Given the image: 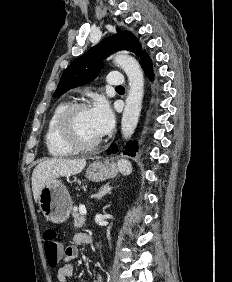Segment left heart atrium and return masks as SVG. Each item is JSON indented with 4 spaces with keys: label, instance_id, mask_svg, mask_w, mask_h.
<instances>
[{
    "label": "left heart atrium",
    "instance_id": "obj_1",
    "mask_svg": "<svg viewBox=\"0 0 232 282\" xmlns=\"http://www.w3.org/2000/svg\"><path fill=\"white\" fill-rule=\"evenodd\" d=\"M91 116L100 136H103L112 130L114 126V114L106 100H97L91 108Z\"/></svg>",
    "mask_w": 232,
    "mask_h": 282
}]
</instances>
